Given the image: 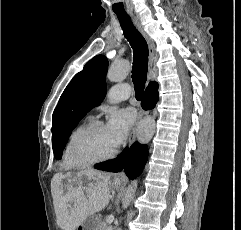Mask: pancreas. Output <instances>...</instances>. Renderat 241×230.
Returning <instances> with one entry per match:
<instances>
[{
	"mask_svg": "<svg viewBox=\"0 0 241 230\" xmlns=\"http://www.w3.org/2000/svg\"><path fill=\"white\" fill-rule=\"evenodd\" d=\"M99 230H112V227L108 226L105 222H101Z\"/></svg>",
	"mask_w": 241,
	"mask_h": 230,
	"instance_id": "pancreas-1",
	"label": "pancreas"
}]
</instances>
